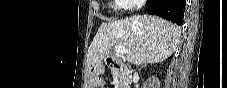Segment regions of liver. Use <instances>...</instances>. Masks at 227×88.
<instances>
[{
    "label": "liver",
    "instance_id": "1",
    "mask_svg": "<svg viewBox=\"0 0 227 88\" xmlns=\"http://www.w3.org/2000/svg\"><path fill=\"white\" fill-rule=\"evenodd\" d=\"M179 38V27L157 16L136 15L102 23L88 49L87 61L100 64L114 45H122L128 62L158 63L172 55Z\"/></svg>",
    "mask_w": 227,
    "mask_h": 88
}]
</instances>
